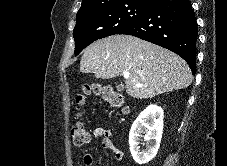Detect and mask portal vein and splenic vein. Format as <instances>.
<instances>
[{"mask_svg": "<svg viewBox=\"0 0 227 166\" xmlns=\"http://www.w3.org/2000/svg\"><path fill=\"white\" fill-rule=\"evenodd\" d=\"M128 77H129V75H128V74H125V75H124V78H128Z\"/></svg>", "mask_w": 227, "mask_h": 166, "instance_id": "1", "label": "portal vein and splenic vein"}]
</instances>
